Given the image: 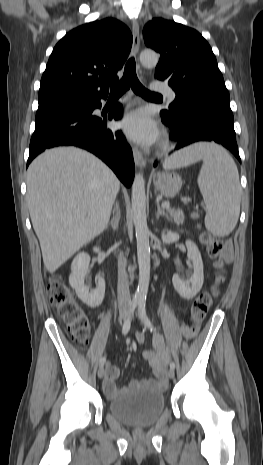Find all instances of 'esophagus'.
Instances as JSON below:
<instances>
[{
    "mask_svg": "<svg viewBox=\"0 0 263 465\" xmlns=\"http://www.w3.org/2000/svg\"><path fill=\"white\" fill-rule=\"evenodd\" d=\"M132 34H133V47L132 52L136 56L139 52L140 47V34H139V24L136 20L132 21ZM133 157L137 167H145L146 159L139 151L137 147H133Z\"/></svg>",
    "mask_w": 263,
    "mask_h": 465,
    "instance_id": "obj_1",
    "label": "esophagus"
}]
</instances>
